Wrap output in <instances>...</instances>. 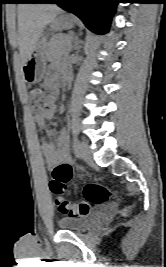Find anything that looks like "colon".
<instances>
[{
    "mask_svg": "<svg viewBox=\"0 0 166 267\" xmlns=\"http://www.w3.org/2000/svg\"><path fill=\"white\" fill-rule=\"evenodd\" d=\"M55 94L53 92H46L39 87L32 88L29 91V102L32 111L37 114L46 111L52 107ZM53 179L50 182V190L53 194L57 195L56 205L61 213L78 217L89 214L92 205L101 204L108 201L113 192L106 186L92 182L85 186L84 196L85 200L72 203L62 197L65 184L72 178L73 172L71 168L65 166H58L52 171ZM128 209H122V214L125 215Z\"/></svg>",
    "mask_w": 166,
    "mask_h": 267,
    "instance_id": "1",
    "label": "colon"
}]
</instances>
